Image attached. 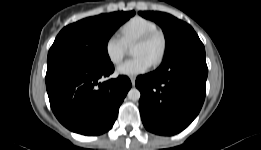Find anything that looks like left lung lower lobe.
<instances>
[{
    "label": "left lung lower lobe",
    "mask_w": 261,
    "mask_h": 150,
    "mask_svg": "<svg viewBox=\"0 0 261 150\" xmlns=\"http://www.w3.org/2000/svg\"><path fill=\"white\" fill-rule=\"evenodd\" d=\"M208 68L198 36L181 43L159 68L136 79L145 128L158 135L184 130L198 115L206 93Z\"/></svg>",
    "instance_id": "obj_1"
}]
</instances>
